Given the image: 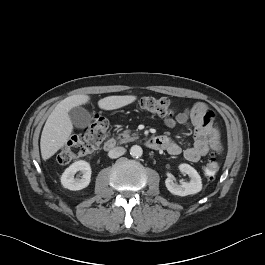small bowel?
Segmentation results:
<instances>
[{
	"mask_svg": "<svg viewBox=\"0 0 265 265\" xmlns=\"http://www.w3.org/2000/svg\"><path fill=\"white\" fill-rule=\"evenodd\" d=\"M190 121L194 130V141L192 146L182 148L170 137L160 136L164 141L163 149L171 155H180L190 162H197L209 153H221L220 130L215 123L214 111L205 103L198 102L189 108L177 112L174 116L167 117L165 124L174 127Z\"/></svg>",
	"mask_w": 265,
	"mask_h": 265,
	"instance_id": "obj_1",
	"label": "small bowel"
}]
</instances>
